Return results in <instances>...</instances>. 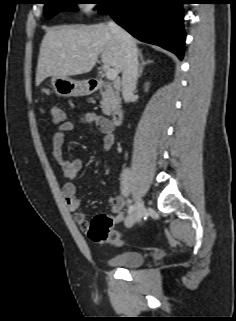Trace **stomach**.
Segmentation results:
<instances>
[{
    "instance_id": "1",
    "label": "stomach",
    "mask_w": 236,
    "mask_h": 321,
    "mask_svg": "<svg viewBox=\"0 0 236 321\" xmlns=\"http://www.w3.org/2000/svg\"><path fill=\"white\" fill-rule=\"evenodd\" d=\"M51 85L55 93L62 97L83 96L90 92L86 81L74 80L70 77L53 76Z\"/></svg>"
}]
</instances>
